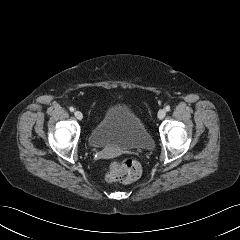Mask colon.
I'll list each match as a JSON object with an SVG mask.
<instances>
[{
  "label": "colon",
  "mask_w": 240,
  "mask_h": 240,
  "mask_svg": "<svg viewBox=\"0 0 240 240\" xmlns=\"http://www.w3.org/2000/svg\"><path fill=\"white\" fill-rule=\"evenodd\" d=\"M141 175L140 164L133 159L112 162L106 170V180L109 182L132 183Z\"/></svg>",
  "instance_id": "obj_1"
}]
</instances>
